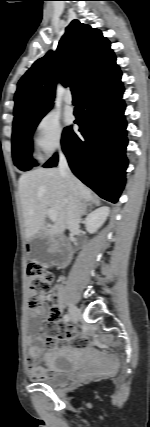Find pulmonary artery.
<instances>
[{"label": "pulmonary artery", "mask_w": 150, "mask_h": 427, "mask_svg": "<svg viewBox=\"0 0 150 427\" xmlns=\"http://www.w3.org/2000/svg\"><path fill=\"white\" fill-rule=\"evenodd\" d=\"M64 102H65L66 104H68V105H71V104L73 103V97H72V95H71L69 92H67V93L64 95Z\"/></svg>", "instance_id": "pulmonary-artery-1"}]
</instances>
